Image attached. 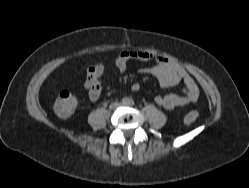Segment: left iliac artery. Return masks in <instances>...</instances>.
<instances>
[{
    "label": "left iliac artery",
    "mask_w": 249,
    "mask_h": 188,
    "mask_svg": "<svg viewBox=\"0 0 249 188\" xmlns=\"http://www.w3.org/2000/svg\"><path fill=\"white\" fill-rule=\"evenodd\" d=\"M129 104H130V105H134V101L130 100V101H129Z\"/></svg>",
    "instance_id": "44dca946"
}]
</instances>
